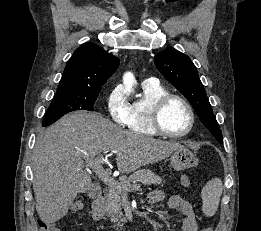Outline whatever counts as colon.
I'll list each match as a JSON object with an SVG mask.
<instances>
[{
  "mask_svg": "<svg viewBox=\"0 0 261 231\" xmlns=\"http://www.w3.org/2000/svg\"><path fill=\"white\" fill-rule=\"evenodd\" d=\"M84 208V203L82 201H75L69 208L71 213H76ZM39 231H59L54 223L47 222L44 220H38Z\"/></svg>",
  "mask_w": 261,
  "mask_h": 231,
  "instance_id": "obj_1",
  "label": "colon"
}]
</instances>
